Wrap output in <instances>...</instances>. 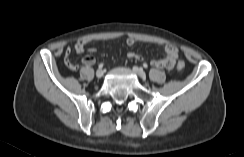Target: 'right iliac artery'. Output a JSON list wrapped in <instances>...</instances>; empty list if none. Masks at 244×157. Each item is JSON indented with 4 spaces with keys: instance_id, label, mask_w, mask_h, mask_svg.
<instances>
[{
    "instance_id": "obj_1",
    "label": "right iliac artery",
    "mask_w": 244,
    "mask_h": 157,
    "mask_svg": "<svg viewBox=\"0 0 244 157\" xmlns=\"http://www.w3.org/2000/svg\"><path fill=\"white\" fill-rule=\"evenodd\" d=\"M98 68H99V69H102V68H103V64H102V63L99 64Z\"/></svg>"
}]
</instances>
